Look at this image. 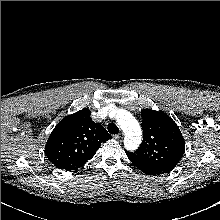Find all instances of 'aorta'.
<instances>
[{
    "label": "aorta",
    "instance_id": "762f6f07",
    "mask_svg": "<svg viewBox=\"0 0 220 220\" xmlns=\"http://www.w3.org/2000/svg\"><path fill=\"white\" fill-rule=\"evenodd\" d=\"M116 121L125 134L124 146L127 150H136L142 140V132L138 121L126 110H118Z\"/></svg>",
    "mask_w": 220,
    "mask_h": 220
}]
</instances>
